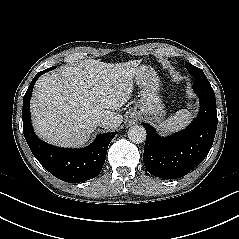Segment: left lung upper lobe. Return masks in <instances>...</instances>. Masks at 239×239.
<instances>
[{"instance_id": "left-lung-upper-lobe-1", "label": "left lung upper lobe", "mask_w": 239, "mask_h": 239, "mask_svg": "<svg viewBox=\"0 0 239 239\" xmlns=\"http://www.w3.org/2000/svg\"><path fill=\"white\" fill-rule=\"evenodd\" d=\"M185 66L189 73L195 78V82L204 84L209 83L202 69L190 64L189 62H185Z\"/></svg>"}]
</instances>
